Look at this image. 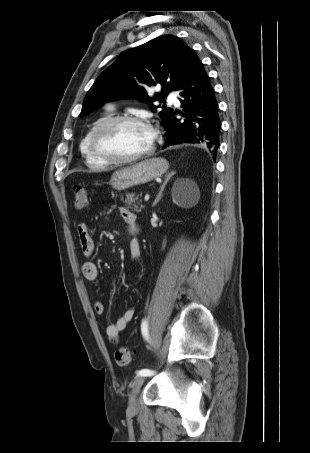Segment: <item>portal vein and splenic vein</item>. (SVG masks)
Wrapping results in <instances>:
<instances>
[{
    "label": "portal vein and splenic vein",
    "mask_w": 310,
    "mask_h": 453,
    "mask_svg": "<svg viewBox=\"0 0 310 453\" xmlns=\"http://www.w3.org/2000/svg\"><path fill=\"white\" fill-rule=\"evenodd\" d=\"M149 194H146L145 197H144V200L147 202L149 200Z\"/></svg>",
    "instance_id": "1"
}]
</instances>
